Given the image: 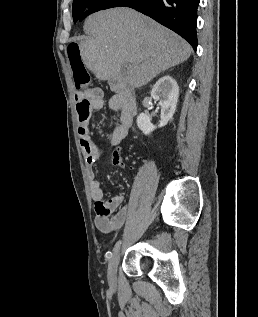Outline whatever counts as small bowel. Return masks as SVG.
Returning a JSON list of instances; mask_svg holds the SVG:
<instances>
[{"label": "small bowel", "mask_w": 258, "mask_h": 317, "mask_svg": "<svg viewBox=\"0 0 258 317\" xmlns=\"http://www.w3.org/2000/svg\"><path fill=\"white\" fill-rule=\"evenodd\" d=\"M102 107V91L99 88H92L83 99L76 103V116L79 142L90 180V194L94 201L95 225L101 232L115 233L124 225L131 212V204L125 203L122 195L105 200L101 183L96 179L95 163L101 157L103 150L91 139L88 125L93 112L102 109ZM109 107L119 115L118 124L110 140L111 145L115 146L132 131L136 109L134 108V102L121 94L113 95L109 99ZM113 164L121 168L125 167L119 152H114Z\"/></svg>", "instance_id": "1"}]
</instances>
